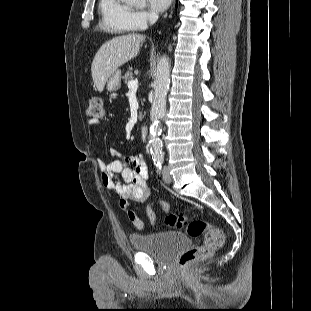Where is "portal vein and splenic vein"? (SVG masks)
Wrapping results in <instances>:
<instances>
[{
  "instance_id": "portal-vein-and-splenic-vein-1",
  "label": "portal vein and splenic vein",
  "mask_w": 311,
  "mask_h": 311,
  "mask_svg": "<svg viewBox=\"0 0 311 311\" xmlns=\"http://www.w3.org/2000/svg\"><path fill=\"white\" fill-rule=\"evenodd\" d=\"M128 88L131 90H136L138 88V81L137 80H131L128 82Z\"/></svg>"
}]
</instances>
